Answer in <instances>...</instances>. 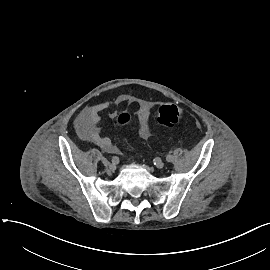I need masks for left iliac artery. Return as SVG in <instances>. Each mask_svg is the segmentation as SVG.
Instances as JSON below:
<instances>
[{
	"mask_svg": "<svg viewBox=\"0 0 270 270\" xmlns=\"http://www.w3.org/2000/svg\"><path fill=\"white\" fill-rule=\"evenodd\" d=\"M174 160H175V158H174L173 155H168V156L166 157V161H167V162H174Z\"/></svg>",
	"mask_w": 270,
	"mask_h": 270,
	"instance_id": "1",
	"label": "left iliac artery"
}]
</instances>
